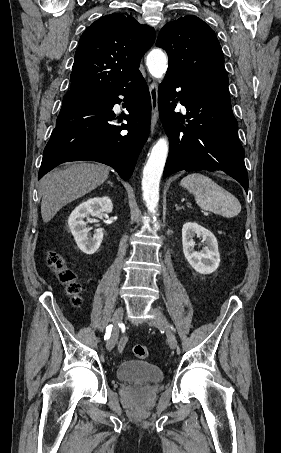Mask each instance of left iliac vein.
<instances>
[{"label":"left iliac vein","mask_w":281,"mask_h":453,"mask_svg":"<svg viewBox=\"0 0 281 453\" xmlns=\"http://www.w3.org/2000/svg\"><path fill=\"white\" fill-rule=\"evenodd\" d=\"M150 314L151 315L156 314V316L154 317V320H150V325H155L156 328H158L160 331H163L165 328L166 329L165 335L167 336V341L172 348H175L177 346V343H176L177 338L175 337V335L171 332L170 328L168 327L169 323L165 320L164 315L162 313H160V310H151Z\"/></svg>","instance_id":"left-iliac-vein-1"}]
</instances>
